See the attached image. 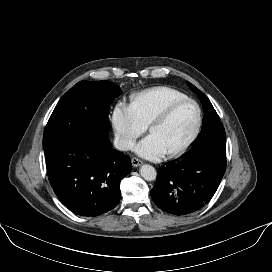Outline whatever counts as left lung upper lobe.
<instances>
[{"mask_svg":"<svg viewBox=\"0 0 272 272\" xmlns=\"http://www.w3.org/2000/svg\"><path fill=\"white\" fill-rule=\"evenodd\" d=\"M187 84L201 100L204 111L201 133L190 151L207 150L214 154L226 156V134L218 114L203 92H201L190 82H187Z\"/></svg>","mask_w":272,"mask_h":272,"instance_id":"1","label":"left lung upper lobe"}]
</instances>
